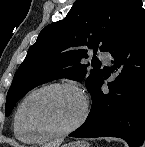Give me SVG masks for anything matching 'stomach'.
<instances>
[{"instance_id":"stomach-1","label":"stomach","mask_w":145,"mask_h":147,"mask_svg":"<svg viewBox=\"0 0 145 147\" xmlns=\"http://www.w3.org/2000/svg\"><path fill=\"white\" fill-rule=\"evenodd\" d=\"M62 147H87V144L83 141H78V142L64 144Z\"/></svg>"}]
</instances>
